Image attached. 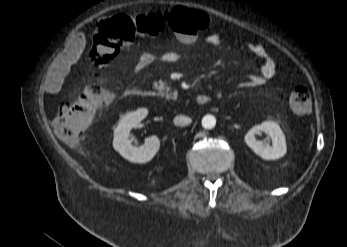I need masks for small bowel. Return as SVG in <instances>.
Here are the masks:
<instances>
[{"label": "small bowel", "instance_id": "c3829d8e", "mask_svg": "<svg viewBox=\"0 0 347 247\" xmlns=\"http://www.w3.org/2000/svg\"><path fill=\"white\" fill-rule=\"evenodd\" d=\"M186 42V41H184ZM206 42L212 46H220L222 40L219 35L211 34L206 38ZM189 43V42H186ZM85 47V40L82 35L76 36L71 42L69 48L61 54V57L55 59L50 66V85L57 89L64 72L69 68L70 63L80 55ZM249 50L260 60L259 73L248 77L243 83L245 86L258 87L265 84L275 74V61L266 49L260 43H249ZM181 54L175 51L164 53L160 60L165 63H174L181 59ZM155 61V57L149 52H143L139 55L138 61L132 69L133 74H138L145 70Z\"/></svg>", "mask_w": 347, "mask_h": 247}]
</instances>
